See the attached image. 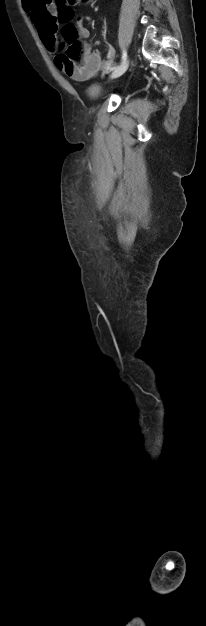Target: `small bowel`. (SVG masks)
I'll use <instances>...</instances> for the list:
<instances>
[{
    "label": "small bowel",
    "instance_id": "obj_1",
    "mask_svg": "<svg viewBox=\"0 0 206 626\" xmlns=\"http://www.w3.org/2000/svg\"><path fill=\"white\" fill-rule=\"evenodd\" d=\"M35 3V4H34ZM26 9L30 12L32 21L34 22L39 36L43 44L50 51H55L57 47L56 33L58 18H61L55 5L49 0H37L28 4ZM85 17L79 15L77 23L79 26V35L83 38L89 36V31L84 27ZM115 58V49L111 45H107L106 54L103 58L100 50H90L83 63L78 64L65 58L61 53H57L54 58L56 67L69 78L83 82L95 77L99 71L106 70Z\"/></svg>",
    "mask_w": 206,
    "mask_h": 626
}]
</instances>
